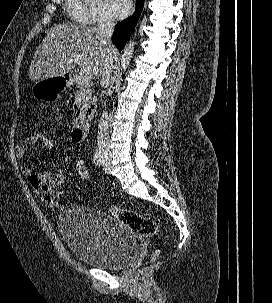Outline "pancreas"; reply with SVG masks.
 <instances>
[{"mask_svg":"<svg viewBox=\"0 0 272 303\" xmlns=\"http://www.w3.org/2000/svg\"><path fill=\"white\" fill-rule=\"evenodd\" d=\"M78 96L82 99L83 102L87 103L92 98V91L90 89V85L80 84L79 86Z\"/></svg>","mask_w":272,"mask_h":303,"instance_id":"cf45deb5","label":"pancreas"}]
</instances>
